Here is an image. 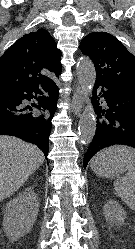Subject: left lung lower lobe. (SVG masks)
<instances>
[{
	"instance_id": "1",
	"label": "left lung lower lobe",
	"mask_w": 135,
	"mask_h": 249,
	"mask_svg": "<svg viewBox=\"0 0 135 249\" xmlns=\"http://www.w3.org/2000/svg\"><path fill=\"white\" fill-rule=\"evenodd\" d=\"M100 98L105 99L104 106H99ZM92 103L97 114V128L85 154L84 168L105 147L124 144L135 148V93L95 82Z\"/></svg>"
}]
</instances>
